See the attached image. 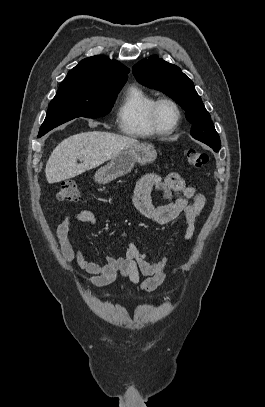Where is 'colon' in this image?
I'll return each mask as SVG.
<instances>
[{
  "instance_id": "obj_1",
  "label": "colon",
  "mask_w": 265,
  "mask_h": 407,
  "mask_svg": "<svg viewBox=\"0 0 265 407\" xmlns=\"http://www.w3.org/2000/svg\"><path fill=\"white\" fill-rule=\"evenodd\" d=\"M185 158L188 163L194 167H203L207 165L209 156L205 152L196 149L185 151ZM81 193L74 182H64L56 193V199L60 202H76L80 199Z\"/></svg>"
}]
</instances>
